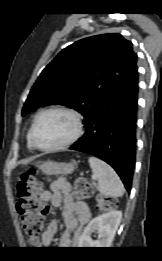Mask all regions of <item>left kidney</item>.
<instances>
[{
	"instance_id": "5707ae66",
	"label": "left kidney",
	"mask_w": 162,
	"mask_h": 261,
	"mask_svg": "<svg viewBox=\"0 0 162 261\" xmlns=\"http://www.w3.org/2000/svg\"><path fill=\"white\" fill-rule=\"evenodd\" d=\"M122 218V212L110 210L92 219L85 227L78 246L81 248L110 247ZM97 232L98 240H92L91 234Z\"/></svg>"
}]
</instances>
